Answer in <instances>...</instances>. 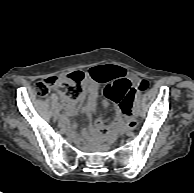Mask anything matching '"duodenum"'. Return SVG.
Returning a JSON list of instances; mask_svg holds the SVG:
<instances>
[{"instance_id":"obj_1","label":"duodenum","mask_w":194,"mask_h":193,"mask_svg":"<svg viewBox=\"0 0 194 193\" xmlns=\"http://www.w3.org/2000/svg\"><path fill=\"white\" fill-rule=\"evenodd\" d=\"M97 139H98V138H97L96 136H92V137H91V141H93V142L96 141ZM99 142H100V139L98 140V143H99Z\"/></svg>"}]
</instances>
